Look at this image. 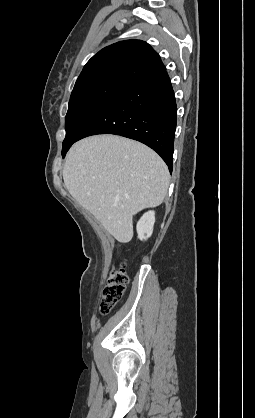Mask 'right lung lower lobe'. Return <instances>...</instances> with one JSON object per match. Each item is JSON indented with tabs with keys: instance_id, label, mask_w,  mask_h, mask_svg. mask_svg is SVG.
Here are the masks:
<instances>
[{
	"instance_id": "1",
	"label": "right lung lower lobe",
	"mask_w": 255,
	"mask_h": 418,
	"mask_svg": "<svg viewBox=\"0 0 255 418\" xmlns=\"http://www.w3.org/2000/svg\"><path fill=\"white\" fill-rule=\"evenodd\" d=\"M176 112L174 91L164 70L126 86L114 95L74 142L95 134L131 138L156 151L172 172ZM71 145L62 150L63 157Z\"/></svg>"
}]
</instances>
